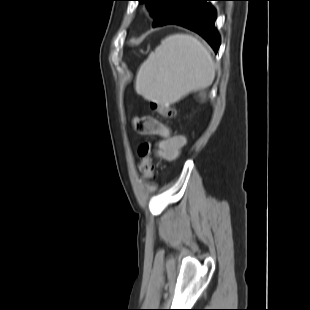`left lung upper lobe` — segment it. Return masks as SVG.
I'll return each instance as SVG.
<instances>
[{
    "label": "left lung upper lobe",
    "instance_id": "obj_1",
    "mask_svg": "<svg viewBox=\"0 0 310 310\" xmlns=\"http://www.w3.org/2000/svg\"><path fill=\"white\" fill-rule=\"evenodd\" d=\"M146 3L152 10L155 20L154 27L170 24L181 9L185 6L187 0H138Z\"/></svg>",
    "mask_w": 310,
    "mask_h": 310
}]
</instances>
